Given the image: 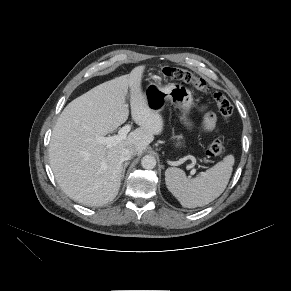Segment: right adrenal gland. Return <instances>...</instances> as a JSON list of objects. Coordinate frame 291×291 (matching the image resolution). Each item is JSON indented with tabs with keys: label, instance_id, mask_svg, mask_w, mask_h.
<instances>
[{
	"label": "right adrenal gland",
	"instance_id": "right-adrenal-gland-1",
	"mask_svg": "<svg viewBox=\"0 0 291 291\" xmlns=\"http://www.w3.org/2000/svg\"><path fill=\"white\" fill-rule=\"evenodd\" d=\"M128 165H129V162H125V163L123 164L122 175H121L122 179L124 178L125 170H126V168H127Z\"/></svg>",
	"mask_w": 291,
	"mask_h": 291
}]
</instances>
